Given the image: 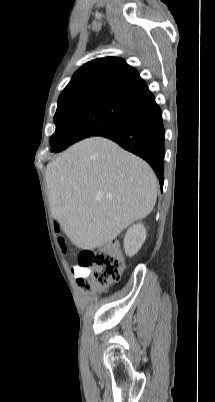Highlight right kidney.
<instances>
[{"label":"right kidney","instance_id":"ca27d5eb","mask_svg":"<svg viewBox=\"0 0 215 402\" xmlns=\"http://www.w3.org/2000/svg\"><path fill=\"white\" fill-rule=\"evenodd\" d=\"M146 239V229L139 223L130 227L124 238V250L128 256L135 255Z\"/></svg>","mask_w":215,"mask_h":402}]
</instances>
